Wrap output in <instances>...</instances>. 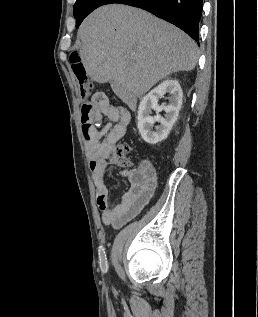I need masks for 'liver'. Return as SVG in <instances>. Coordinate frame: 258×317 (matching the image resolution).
Masks as SVG:
<instances>
[{"label": "liver", "mask_w": 258, "mask_h": 317, "mask_svg": "<svg viewBox=\"0 0 258 317\" xmlns=\"http://www.w3.org/2000/svg\"><path fill=\"white\" fill-rule=\"evenodd\" d=\"M83 66L92 80L110 82L122 100L142 96L177 70H193L198 46L186 32L150 12L105 4L78 28Z\"/></svg>", "instance_id": "6515ba94"}]
</instances>
